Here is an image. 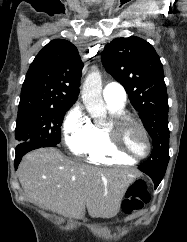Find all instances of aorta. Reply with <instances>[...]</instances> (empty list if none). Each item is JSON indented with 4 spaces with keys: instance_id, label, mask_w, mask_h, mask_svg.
<instances>
[{
    "instance_id": "1",
    "label": "aorta",
    "mask_w": 187,
    "mask_h": 242,
    "mask_svg": "<svg viewBox=\"0 0 187 242\" xmlns=\"http://www.w3.org/2000/svg\"><path fill=\"white\" fill-rule=\"evenodd\" d=\"M102 79L98 71L89 73L82 88L83 103L95 121H100L106 116V107L102 99Z\"/></svg>"
}]
</instances>
